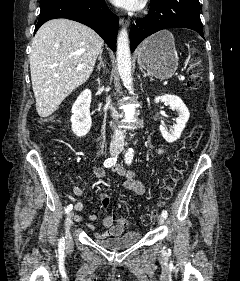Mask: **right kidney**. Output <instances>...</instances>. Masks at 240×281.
Returning <instances> with one entry per match:
<instances>
[{
	"label": "right kidney",
	"mask_w": 240,
	"mask_h": 281,
	"mask_svg": "<svg viewBox=\"0 0 240 281\" xmlns=\"http://www.w3.org/2000/svg\"><path fill=\"white\" fill-rule=\"evenodd\" d=\"M92 93L89 89L84 90L72 106V131L77 137H83L90 131L92 120L90 116V103Z\"/></svg>",
	"instance_id": "ca27d5eb"
}]
</instances>
